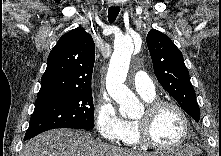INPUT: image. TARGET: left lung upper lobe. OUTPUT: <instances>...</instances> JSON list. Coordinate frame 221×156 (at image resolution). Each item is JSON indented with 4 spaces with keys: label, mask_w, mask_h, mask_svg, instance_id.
<instances>
[{
    "label": "left lung upper lobe",
    "mask_w": 221,
    "mask_h": 156,
    "mask_svg": "<svg viewBox=\"0 0 221 156\" xmlns=\"http://www.w3.org/2000/svg\"><path fill=\"white\" fill-rule=\"evenodd\" d=\"M146 41L159 83L188 115L199 122V105L181 51L167 35L155 29L149 31Z\"/></svg>",
    "instance_id": "1"
}]
</instances>
